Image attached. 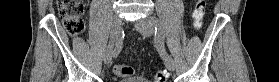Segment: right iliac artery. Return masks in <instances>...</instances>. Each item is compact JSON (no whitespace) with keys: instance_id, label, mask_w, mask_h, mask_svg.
Masks as SVG:
<instances>
[{"instance_id":"right-iliac-artery-1","label":"right iliac artery","mask_w":279,"mask_h":82,"mask_svg":"<svg viewBox=\"0 0 279 82\" xmlns=\"http://www.w3.org/2000/svg\"><path fill=\"white\" fill-rule=\"evenodd\" d=\"M120 35H121V31L118 32L117 39L115 42V48L112 52L114 58L117 57L122 50V41L120 40Z\"/></svg>"}]
</instances>
